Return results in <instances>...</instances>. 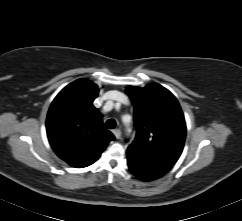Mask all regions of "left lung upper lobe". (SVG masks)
Returning a JSON list of instances; mask_svg holds the SVG:
<instances>
[{
	"label": "left lung upper lobe",
	"instance_id": "1",
	"mask_svg": "<svg viewBox=\"0 0 242 221\" xmlns=\"http://www.w3.org/2000/svg\"><path fill=\"white\" fill-rule=\"evenodd\" d=\"M126 93L134 105L136 136L128 151L174 165L186 136V124L175 96L152 83L144 88L128 86Z\"/></svg>",
	"mask_w": 242,
	"mask_h": 221
}]
</instances>
